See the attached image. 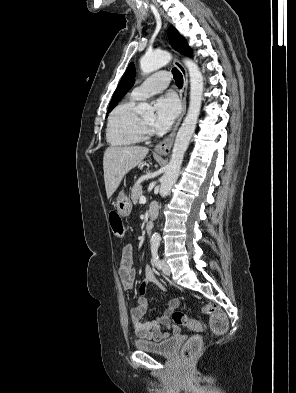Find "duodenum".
<instances>
[{"mask_svg":"<svg viewBox=\"0 0 296 393\" xmlns=\"http://www.w3.org/2000/svg\"><path fill=\"white\" fill-rule=\"evenodd\" d=\"M158 214V206L157 204H152L147 210V218H148V231L150 232L152 229V222L156 218Z\"/></svg>","mask_w":296,"mask_h":393,"instance_id":"obj_1","label":"duodenum"}]
</instances>
